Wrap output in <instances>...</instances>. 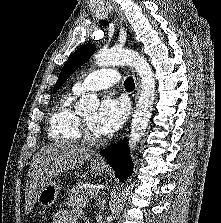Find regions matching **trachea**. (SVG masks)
<instances>
[{"mask_svg":"<svg viewBox=\"0 0 221 223\" xmlns=\"http://www.w3.org/2000/svg\"><path fill=\"white\" fill-rule=\"evenodd\" d=\"M127 91H132L135 88V83L132 77H128L124 82Z\"/></svg>","mask_w":221,"mask_h":223,"instance_id":"trachea-1","label":"trachea"}]
</instances>
